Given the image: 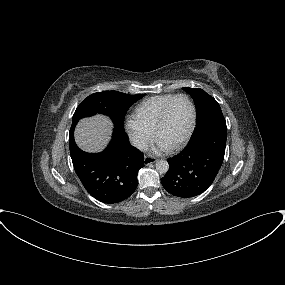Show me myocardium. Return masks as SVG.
Instances as JSON below:
<instances>
[{"instance_id": "1", "label": "myocardium", "mask_w": 285, "mask_h": 285, "mask_svg": "<svg viewBox=\"0 0 285 285\" xmlns=\"http://www.w3.org/2000/svg\"><path fill=\"white\" fill-rule=\"evenodd\" d=\"M178 98H184L189 106H190V109H191V121H190V125H189V128L185 134V136L178 142L176 143L175 145L173 146H170V149L172 150H177V149H180L181 147H183L188 141L189 139L191 138L193 132H194V129H195V126H196V118H197V113H196V107H195V104L193 103V101L191 100V98L187 95V94H184V93H179V94H175L163 107L160 115H159V118L156 122V125L154 127V135L155 137L158 136V133L161 129V127L164 125L166 119H167V116H168V112H169V109L172 105V103L178 99Z\"/></svg>"}]
</instances>
